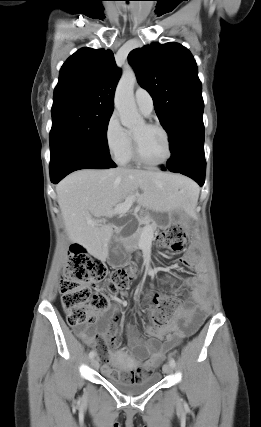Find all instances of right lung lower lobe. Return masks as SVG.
I'll return each mask as SVG.
<instances>
[{
    "mask_svg": "<svg viewBox=\"0 0 261 427\" xmlns=\"http://www.w3.org/2000/svg\"><path fill=\"white\" fill-rule=\"evenodd\" d=\"M116 167L110 157H101L83 152L68 151L51 157L50 177L57 184L69 173L79 169H107Z\"/></svg>",
    "mask_w": 261,
    "mask_h": 427,
    "instance_id": "right-lung-lower-lobe-1",
    "label": "right lung lower lobe"
}]
</instances>
